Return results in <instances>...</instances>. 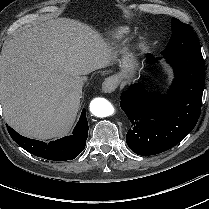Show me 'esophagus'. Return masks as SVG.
Listing matches in <instances>:
<instances>
[{"label": "esophagus", "instance_id": "1", "mask_svg": "<svg viewBox=\"0 0 209 209\" xmlns=\"http://www.w3.org/2000/svg\"><path fill=\"white\" fill-rule=\"evenodd\" d=\"M118 85H119V81L117 77L115 76L107 77L102 83V91L105 93H111L118 87Z\"/></svg>", "mask_w": 209, "mask_h": 209}]
</instances>
